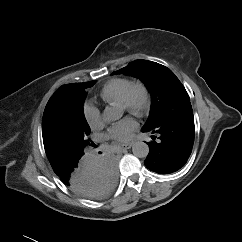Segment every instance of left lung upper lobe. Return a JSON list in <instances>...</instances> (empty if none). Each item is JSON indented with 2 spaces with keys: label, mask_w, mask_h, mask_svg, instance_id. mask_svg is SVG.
Returning <instances> with one entry per match:
<instances>
[{
  "label": "left lung upper lobe",
  "mask_w": 242,
  "mask_h": 242,
  "mask_svg": "<svg viewBox=\"0 0 242 242\" xmlns=\"http://www.w3.org/2000/svg\"><path fill=\"white\" fill-rule=\"evenodd\" d=\"M113 73L140 78L151 92V110L144 127L152 126L171 109L190 101L186 89L175 74L159 63L140 59Z\"/></svg>",
  "instance_id": "5c2ea615"
}]
</instances>
